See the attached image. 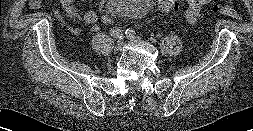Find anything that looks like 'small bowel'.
<instances>
[{
    "label": "small bowel",
    "mask_w": 253,
    "mask_h": 131,
    "mask_svg": "<svg viewBox=\"0 0 253 131\" xmlns=\"http://www.w3.org/2000/svg\"><path fill=\"white\" fill-rule=\"evenodd\" d=\"M64 14L75 21H84L92 26L94 31H98L100 26L98 20L102 13L106 11L108 0H100L97 9H89L81 14L74 5L73 0H59ZM187 9L184 13V19L190 24L197 23L203 17V8L211 3L212 0H185ZM54 15L58 19H62V14L59 11H54ZM71 33L79 34V29L76 27L70 28Z\"/></svg>",
    "instance_id": "1"
}]
</instances>
